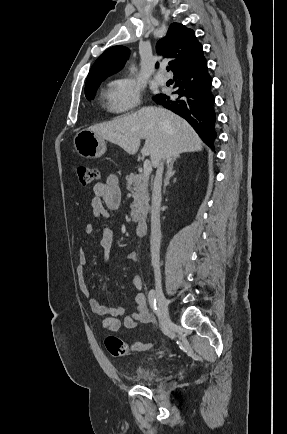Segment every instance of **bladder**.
Instances as JSON below:
<instances>
[{
    "instance_id": "1",
    "label": "bladder",
    "mask_w": 287,
    "mask_h": 434,
    "mask_svg": "<svg viewBox=\"0 0 287 434\" xmlns=\"http://www.w3.org/2000/svg\"><path fill=\"white\" fill-rule=\"evenodd\" d=\"M163 372L160 365L144 364L135 369L131 378L139 384H152Z\"/></svg>"
}]
</instances>
